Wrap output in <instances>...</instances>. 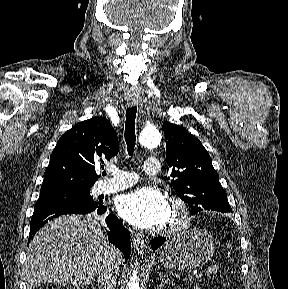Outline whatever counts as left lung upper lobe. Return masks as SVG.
<instances>
[{"label": "left lung upper lobe", "mask_w": 288, "mask_h": 289, "mask_svg": "<svg viewBox=\"0 0 288 289\" xmlns=\"http://www.w3.org/2000/svg\"><path fill=\"white\" fill-rule=\"evenodd\" d=\"M166 161L173 168L171 181L177 195L191 208L231 212L219 175L202 143L185 128L165 122Z\"/></svg>", "instance_id": "5c2ea615"}]
</instances>
